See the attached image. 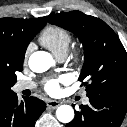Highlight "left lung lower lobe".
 <instances>
[{
  "label": "left lung lower lobe",
  "instance_id": "left-lung-lower-lobe-1",
  "mask_svg": "<svg viewBox=\"0 0 127 127\" xmlns=\"http://www.w3.org/2000/svg\"><path fill=\"white\" fill-rule=\"evenodd\" d=\"M89 105L75 111L72 122L65 127H120L127 111V96L100 93L89 95Z\"/></svg>",
  "mask_w": 127,
  "mask_h": 127
}]
</instances>
